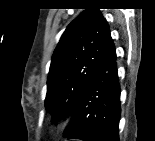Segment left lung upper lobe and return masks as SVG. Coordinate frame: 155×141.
Wrapping results in <instances>:
<instances>
[{
  "mask_svg": "<svg viewBox=\"0 0 155 141\" xmlns=\"http://www.w3.org/2000/svg\"><path fill=\"white\" fill-rule=\"evenodd\" d=\"M111 41L108 22L95 8L85 9L66 28L47 81L45 108L53 121L74 111Z\"/></svg>",
  "mask_w": 155,
  "mask_h": 141,
  "instance_id": "obj_1",
  "label": "left lung upper lobe"
}]
</instances>
